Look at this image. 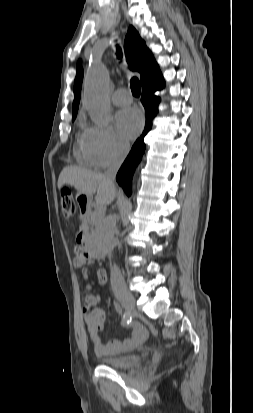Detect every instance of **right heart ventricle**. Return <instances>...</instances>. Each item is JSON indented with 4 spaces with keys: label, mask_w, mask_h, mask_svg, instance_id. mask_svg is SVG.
Returning <instances> with one entry per match:
<instances>
[{
    "label": "right heart ventricle",
    "mask_w": 253,
    "mask_h": 413,
    "mask_svg": "<svg viewBox=\"0 0 253 413\" xmlns=\"http://www.w3.org/2000/svg\"><path fill=\"white\" fill-rule=\"evenodd\" d=\"M76 156L80 161L84 162L85 164L93 165L92 160H91V158H90V156H89V154H88V152H87V150L84 146L83 138L81 140L79 148L76 151Z\"/></svg>",
    "instance_id": "obj_1"
}]
</instances>
